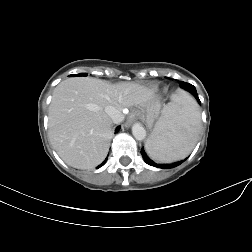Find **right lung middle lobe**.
I'll return each mask as SVG.
<instances>
[{
  "label": "right lung middle lobe",
  "mask_w": 252,
  "mask_h": 252,
  "mask_svg": "<svg viewBox=\"0 0 252 252\" xmlns=\"http://www.w3.org/2000/svg\"><path fill=\"white\" fill-rule=\"evenodd\" d=\"M86 73H80V74H76V75H71V76H86Z\"/></svg>",
  "instance_id": "dd1d6c3e"
}]
</instances>
